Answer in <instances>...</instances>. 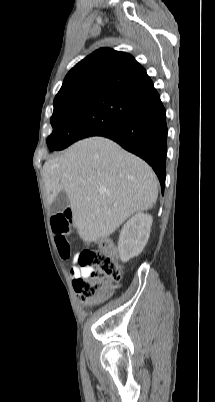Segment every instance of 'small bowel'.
I'll list each match as a JSON object with an SVG mask.
<instances>
[{
	"instance_id": "c3829d8e",
	"label": "small bowel",
	"mask_w": 215,
	"mask_h": 402,
	"mask_svg": "<svg viewBox=\"0 0 215 402\" xmlns=\"http://www.w3.org/2000/svg\"><path fill=\"white\" fill-rule=\"evenodd\" d=\"M92 271V268L90 267H78L75 263L70 267V275L73 279V281H75L78 278H84V277H88L90 275Z\"/></svg>"
}]
</instances>
